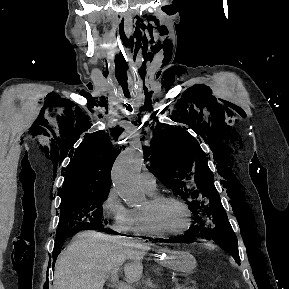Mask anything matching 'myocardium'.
<instances>
[{"label":"myocardium","instance_id":"myocardium-1","mask_svg":"<svg viewBox=\"0 0 289 289\" xmlns=\"http://www.w3.org/2000/svg\"><path fill=\"white\" fill-rule=\"evenodd\" d=\"M166 201H173L178 203L187 213L188 222L186 226L181 229L180 231L176 232H169L160 229L157 224L155 223V219L153 217V212L155 208H157L160 204ZM148 208L140 210L144 223L150 233L158 237H171V236H180L185 234L190 227L192 226V212L190 207L186 204L184 200L181 198L170 195V194H158L150 196L147 200Z\"/></svg>","mask_w":289,"mask_h":289}]
</instances>
